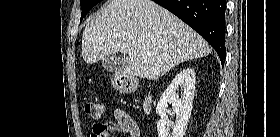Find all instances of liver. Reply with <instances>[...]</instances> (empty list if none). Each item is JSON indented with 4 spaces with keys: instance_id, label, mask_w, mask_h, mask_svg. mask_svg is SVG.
Here are the masks:
<instances>
[{
    "instance_id": "6515ba94",
    "label": "liver",
    "mask_w": 280,
    "mask_h": 137,
    "mask_svg": "<svg viewBox=\"0 0 280 137\" xmlns=\"http://www.w3.org/2000/svg\"><path fill=\"white\" fill-rule=\"evenodd\" d=\"M128 54L130 77L158 79L181 62L211 53L191 27L151 0H111L90 20L82 56L93 64L112 54Z\"/></svg>"
}]
</instances>
